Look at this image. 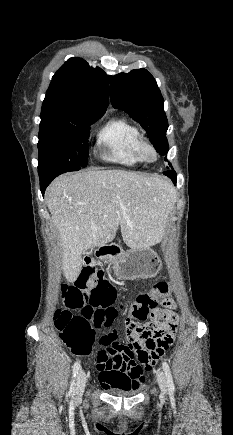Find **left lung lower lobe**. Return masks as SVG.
Segmentation results:
<instances>
[{
    "instance_id": "left-lung-lower-lobe-1",
    "label": "left lung lower lobe",
    "mask_w": 233,
    "mask_h": 435,
    "mask_svg": "<svg viewBox=\"0 0 233 435\" xmlns=\"http://www.w3.org/2000/svg\"><path fill=\"white\" fill-rule=\"evenodd\" d=\"M164 174L166 176H168L169 178H171V180L173 181L174 184L176 183L177 177H176V172L174 170L166 171V172H164Z\"/></svg>"
}]
</instances>
